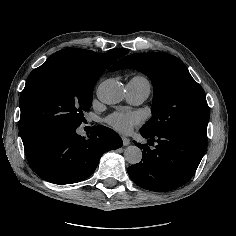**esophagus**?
Segmentation results:
<instances>
[{
    "instance_id": "obj_1",
    "label": "esophagus",
    "mask_w": 236,
    "mask_h": 236,
    "mask_svg": "<svg viewBox=\"0 0 236 236\" xmlns=\"http://www.w3.org/2000/svg\"><path fill=\"white\" fill-rule=\"evenodd\" d=\"M122 141H123L124 146H127L130 144V139L125 136H122Z\"/></svg>"
}]
</instances>
